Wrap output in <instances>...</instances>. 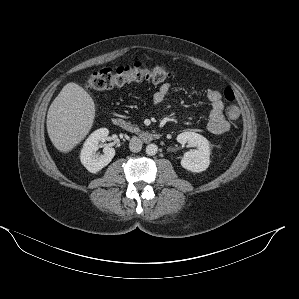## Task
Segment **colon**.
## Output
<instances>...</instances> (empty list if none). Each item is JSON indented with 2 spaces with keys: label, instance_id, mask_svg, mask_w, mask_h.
Segmentation results:
<instances>
[{
  "label": "colon",
  "instance_id": "obj_1",
  "mask_svg": "<svg viewBox=\"0 0 299 299\" xmlns=\"http://www.w3.org/2000/svg\"><path fill=\"white\" fill-rule=\"evenodd\" d=\"M171 77L172 72L165 66L134 64L94 72L87 78L86 84L89 89L103 91L132 81L149 80L154 83H160ZM223 98L228 103L225 109L227 117L232 121L238 120L240 110L235 103L234 91L230 87L224 89Z\"/></svg>",
  "mask_w": 299,
  "mask_h": 299
}]
</instances>
